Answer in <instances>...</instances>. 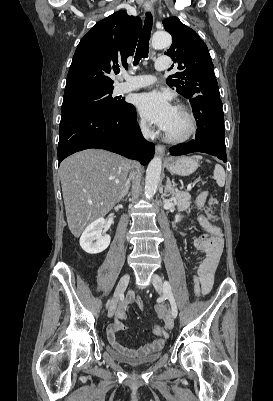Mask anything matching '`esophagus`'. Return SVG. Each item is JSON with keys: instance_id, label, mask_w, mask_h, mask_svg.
Returning a JSON list of instances; mask_svg holds the SVG:
<instances>
[{"instance_id": "obj_1", "label": "esophagus", "mask_w": 273, "mask_h": 401, "mask_svg": "<svg viewBox=\"0 0 273 401\" xmlns=\"http://www.w3.org/2000/svg\"><path fill=\"white\" fill-rule=\"evenodd\" d=\"M144 9L147 12H152L153 6L150 3L144 4ZM156 154L159 156H164L165 154V147L163 145H156Z\"/></svg>"}]
</instances>
